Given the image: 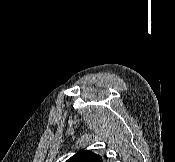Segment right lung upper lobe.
<instances>
[{
    "label": "right lung upper lobe",
    "mask_w": 175,
    "mask_h": 162,
    "mask_svg": "<svg viewBox=\"0 0 175 162\" xmlns=\"http://www.w3.org/2000/svg\"><path fill=\"white\" fill-rule=\"evenodd\" d=\"M99 158H101L100 155H96L93 152L80 151L66 162H102Z\"/></svg>",
    "instance_id": "obj_1"
}]
</instances>
